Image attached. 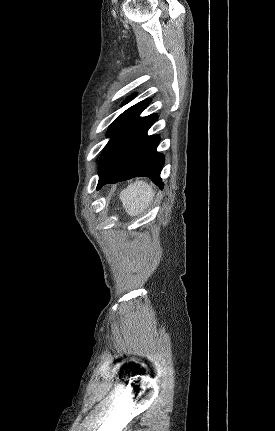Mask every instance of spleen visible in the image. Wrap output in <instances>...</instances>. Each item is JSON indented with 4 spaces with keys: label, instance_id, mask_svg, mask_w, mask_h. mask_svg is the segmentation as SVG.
I'll use <instances>...</instances> for the list:
<instances>
[{
    "label": "spleen",
    "instance_id": "spleen-1",
    "mask_svg": "<svg viewBox=\"0 0 275 431\" xmlns=\"http://www.w3.org/2000/svg\"><path fill=\"white\" fill-rule=\"evenodd\" d=\"M154 195L150 185L144 181H136L120 193V200L128 215L137 216L149 207Z\"/></svg>",
    "mask_w": 275,
    "mask_h": 431
}]
</instances>
